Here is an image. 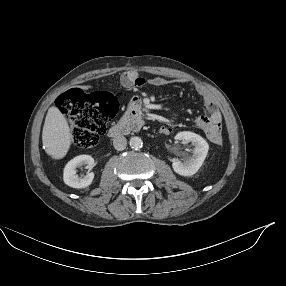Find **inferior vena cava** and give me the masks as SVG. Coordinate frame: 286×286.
<instances>
[{"label": "inferior vena cava", "mask_w": 286, "mask_h": 286, "mask_svg": "<svg viewBox=\"0 0 286 286\" xmlns=\"http://www.w3.org/2000/svg\"><path fill=\"white\" fill-rule=\"evenodd\" d=\"M127 140L124 136H116L113 139V146L116 150L121 151L126 148Z\"/></svg>", "instance_id": "inferior-vena-cava-1"}]
</instances>
